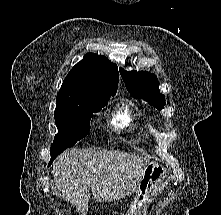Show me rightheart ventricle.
<instances>
[{"mask_svg": "<svg viewBox=\"0 0 221 215\" xmlns=\"http://www.w3.org/2000/svg\"><path fill=\"white\" fill-rule=\"evenodd\" d=\"M110 126L119 132H137L143 129L141 120L133 112L129 103L121 104L109 119Z\"/></svg>", "mask_w": 221, "mask_h": 215, "instance_id": "e07e8e85", "label": "right heart ventricle"}]
</instances>
